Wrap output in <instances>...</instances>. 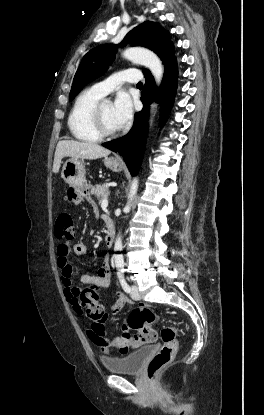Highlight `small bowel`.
<instances>
[{"label":"small bowel","mask_w":264,"mask_h":415,"mask_svg":"<svg viewBox=\"0 0 264 415\" xmlns=\"http://www.w3.org/2000/svg\"><path fill=\"white\" fill-rule=\"evenodd\" d=\"M95 215L99 214L97 208H94ZM103 221L107 215L105 213L101 214ZM75 253L78 256H84L88 252V246L84 242H79L75 245ZM70 253L69 247H60L57 251V263L60 269L62 270V283L64 286V296L65 299L69 302L73 310L80 316H84L83 312L84 309L80 304V297L82 293V285L91 284L93 285L97 291H101L110 286L111 284V265H110V258L109 256H105L100 268L97 271L96 275H88L82 274L79 277L80 285H74L72 282L70 270L72 266L68 259V255ZM132 303L131 299L127 296L120 295L114 302L110 303L106 307V311L109 314H114L119 312L120 310L124 309L125 307L129 306ZM127 330V325L125 323L121 326V331ZM87 335L90 339L101 349L104 354H108L110 350L118 349L122 354H128L131 350L137 349L141 346L138 345H128L124 347V345L111 340V341H104L103 339L96 338L95 333L87 328L86 329Z\"/></svg>","instance_id":"small-bowel-1"}]
</instances>
